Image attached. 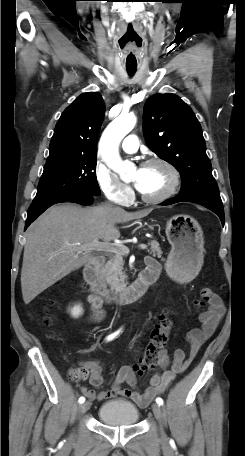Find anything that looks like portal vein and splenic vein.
Segmentation results:
<instances>
[{
  "mask_svg": "<svg viewBox=\"0 0 245 456\" xmlns=\"http://www.w3.org/2000/svg\"><path fill=\"white\" fill-rule=\"evenodd\" d=\"M73 245L77 246V247H80V248H82V249H84L86 251L96 250V251H104V252L116 253L119 250H122L126 254L129 253L128 247H126L124 245H119V244L100 242L99 238L94 239L92 243H90L88 245H85V246L81 245L80 243H76V244H73ZM139 248L142 249V250H146L147 246L145 244H140Z\"/></svg>",
  "mask_w": 245,
  "mask_h": 456,
  "instance_id": "obj_1",
  "label": "portal vein and splenic vein"
}]
</instances>
